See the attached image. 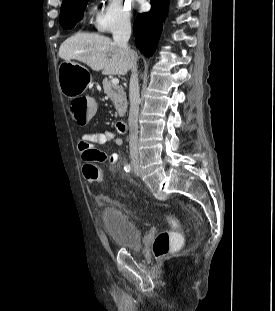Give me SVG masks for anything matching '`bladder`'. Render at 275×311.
<instances>
[{"label": "bladder", "instance_id": "obj_1", "mask_svg": "<svg viewBox=\"0 0 275 311\" xmlns=\"http://www.w3.org/2000/svg\"><path fill=\"white\" fill-rule=\"evenodd\" d=\"M101 219L115 247L139 249L142 246L143 233L125 212L103 208Z\"/></svg>", "mask_w": 275, "mask_h": 311}]
</instances>
